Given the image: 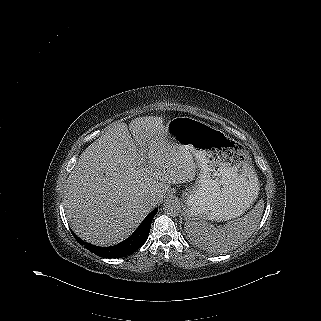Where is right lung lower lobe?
I'll list each match as a JSON object with an SVG mask.
<instances>
[{
  "instance_id": "obj_1",
  "label": "right lung lower lobe",
  "mask_w": 321,
  "mask_h": 321,
  "mask_svg": "<svg viewBox=\"0 0 321 321\" xmlns=\"http://www.w3.org/2000/svg\"><path fill=\"white\" fill-rule=\"evenodd\" d=\"M158 208L154 209L140 224L136 231L125 241L110 247H98L86 243L78 238L73 232L76 240L98 256L105 258H120L135 252L148 238L152 219L156 215Z\"/></svg>"
}]
</instances>
